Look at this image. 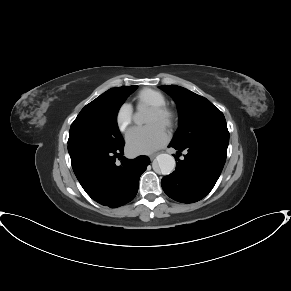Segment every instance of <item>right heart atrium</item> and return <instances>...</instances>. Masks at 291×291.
Listing matches in <instances>:
<instances>
[{"instance_id": "1", "label": "right heart atrium", "mask_w": 291, "mask_h": 291, "mask_svg": "<svg viewBox=\"0 0 291 291\" xmlns=\"http://www.w3.org/2000/svg\"><path fill=\"white\" fill-rule=\"evenodd\" d=\"M133 121V109L129 104H123L117 111L116 123L119 130L123 133L127 132Z\"/></svg>"}]
</instances>
